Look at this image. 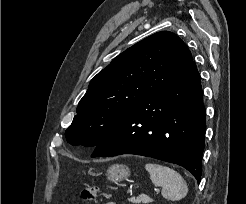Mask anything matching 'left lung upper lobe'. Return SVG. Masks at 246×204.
<instances>
[{
	"instance_id": "1",
	"label": "left lung upper lobe",
	"mask_w": 246,
	"mask_h": 204,
	"mask_svg": "<svg viewBox=\"0 0 246 204\" xmlns=\"http://www.w3.org/2000/svg\"><path fill=\"white\" fill-rule=\"evenodd\" d=\"M191 61L187 46L169 31L128 48L91 80L65 132L67 141L96 147L120 120Z\"/></svg>"
}]
</instances>
